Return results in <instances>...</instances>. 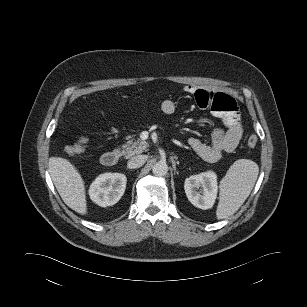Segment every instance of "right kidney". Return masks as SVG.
Returning a JSON list of instances; mask_svg holds the SVG:
<instances>
[{"label": "right kidney", "mask_w": 307, "mask_h": 307, "mask_svg": "<svg viewBox=\"0 0 307 307\" xmlns=\"http://www.w3.org/2000/svg\"><path fill=\"white\" fill-rule=\"evenodd\" d=\"M127 178L121 173H104L99 175L89 188L93 202L106 207L116 204L123 196Z\"/></svg>", "instance_id": "ca27d5eb"}]
</instances>
